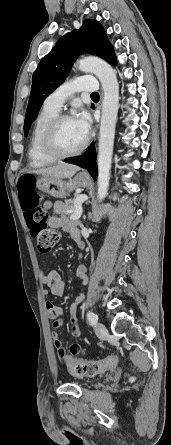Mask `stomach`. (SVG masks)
<instances>
[{"label": "stomach", "instance_id": "stomach-1", "mask_svg": "<svg viewBox=\"0 0 171 445\" xmlns=\"http://www.w3.org/2000/svg\"><path fill=\"white\" fill-rule=\"evenodd\" d=\"M88 183V179L82 178L80 175L75 176L73 179L69 178L68 181H64L63 178L42 175L36 178V187L39 190L58 199L64 198L76 188L87 187Z\"/></svg>", "mask_w": 171, "mask_h": 445}]
</instances>
